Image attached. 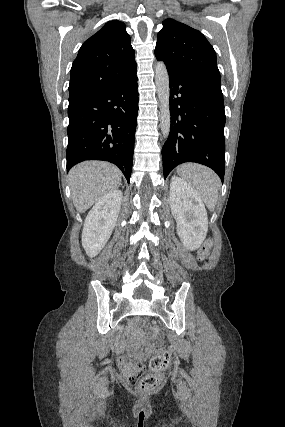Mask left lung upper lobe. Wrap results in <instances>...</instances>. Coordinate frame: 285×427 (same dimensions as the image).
Wrapping results in <instances>:
<instances>
[{"label":"left lung upper lobe","instance_id":"left-lung-upper-lobe-1","mask_svg":"<svg viewBox=\"0 0 285 427\" xmlns=\"http://www.w3.org/2000/svg\"><path fill=\"white\" fill-rule=\"evenodd\" d=\"M155 56L168 71L202 76L220 83L216 53L205 36L173 19L163 22L157 35Z\"/></svg>","mask_w":285,"mask_h":427}]
</instances>
